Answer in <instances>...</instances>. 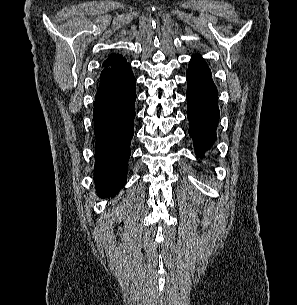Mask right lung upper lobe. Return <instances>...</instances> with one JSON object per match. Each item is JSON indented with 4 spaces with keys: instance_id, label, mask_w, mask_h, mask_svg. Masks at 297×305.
I'll return each mask as SVG.
<instances>
[{
    "instance_id": "obj_1",
    "label": "right lung upper lobe",
    "mask_w": 297,
    "mask_h": 305,
    "mask_svg": "<svg viewBox=\"0 0 297 305\" xmlns=\"http://www.w3.org/2000/svg\"><path fill=\"white\" fill-rule=\"evenodd\" d=\"M126 59L122 57V55L112 54L107 60L104 61L103 69L100 79L118 71L122 67L126 66Z\"/></svg>"
}]
</instances>
